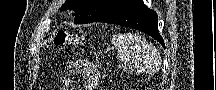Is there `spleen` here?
Instances as JSON below:
<instances>
[{
	"mask_svg": "<svg viewBox=\"0 0 216 90\" xmlns=\"http://www.w3.org/2000/svg\"><path fill=\"white\" fill-rule=\"evenodd\" d=\"M114 46L121 62L132 72H150L159 62L156 48L138 34H117Z\"/></svg>",
	"mask_w": 216,
	"mask_h": 90,
	"instance_id": "spleen-1",
	"label": "spleen"
}]
</instances>
